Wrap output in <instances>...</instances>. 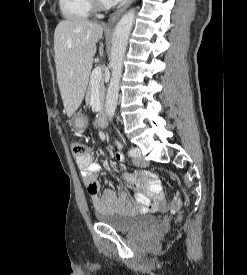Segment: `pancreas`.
<instances>
[{"mask_svg": "<svg viewBox=\"0 0 247 275\" xmlns=\"http://www.w3.org/2000/svg\"><path fill=\"white\" fill-rule=\"evenodd\" d=\"M94 83L90 80L89 82V86L86 92V103L89 104L91 101V94L94 88ZM96 87L98 89V93H99V98H100V102L101 104H103L104 102V98H105V86H104V81L100 80V82L98 84H96Z\"/></svg>", "mask_w": 247, "mask_h": 275, "instance_id": "1", "label": "pancreas"}]
</instances>
